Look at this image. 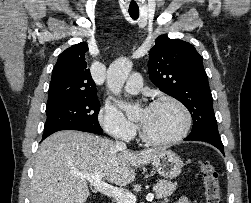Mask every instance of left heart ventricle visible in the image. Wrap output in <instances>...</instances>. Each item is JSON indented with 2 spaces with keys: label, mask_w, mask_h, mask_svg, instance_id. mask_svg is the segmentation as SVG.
<instances>
[{
  "label": "left heart ventricle",
  "mask_w": 251,
  "mask_h": 203,
  "mask_svg": "<svg viewBox=\"0 0 251 203\" xmlns=\"http://www.w3.org/2000/svg\"><path fill=\"white\" fill-rule=\"evenodd\" d=\"M144 132L153 139H168L179 133L183 126L182 112L173 104L150 106L138 115Z\"/></svg>",
  "instance_id": "b2bd125f"
}]
</instances>
